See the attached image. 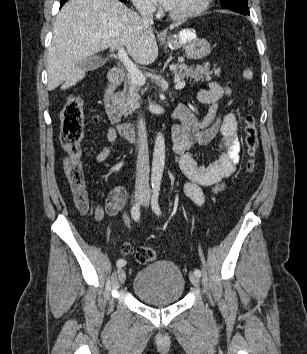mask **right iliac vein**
<instances>
[{
	"label": "right iliac vein",
	"mask_w": 307,
	"mask_h": 354,
	"mask_svg": "<svg viewBox=\"0 0 307 354\" xmlns=\"http://www.w3.org/2000/svg\"><path fill=\"white\" fill-rule=\"evenodd\" d=\"M136 200H137V202L142 203L143 200H144L143 195L142 194H138L136 196ZM118 279H119L121 284H123L125 282V280H126V273H125V270L123 268H119L118 269Z\"/></svg>",
	"instance_id": "right-iliac-vein-1"
}]
</instances>
